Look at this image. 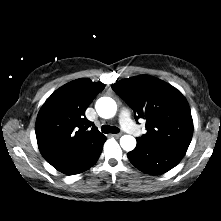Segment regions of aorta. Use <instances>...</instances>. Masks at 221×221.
<instances>
[{
  "label": "aorta",
  "mask_w": 221,
  "mask_h": 221,
  "mask_svg": "<svg viewBox=\"0 0 221 221\" xmlns=\"http://www.w3.org/2000/svg\"><path fill=\"white\" fill-rule=\"evenodd\" d=\"M98 115L102 118H112L117 111L116 102L110 97H101L95 105ZM120 145L125 151H132L136 147V139L131 135H123L120 138Z\"/></svg>",
  "instance_id": "aorta-1"
}]
</instances>
